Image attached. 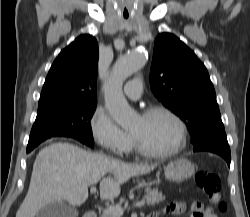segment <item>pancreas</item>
I'll use <instances>...</instances> for the list:
<instances>
[{
    "mask_svg": "<svg viewBox=\"0 0 250 217\" xmlns=\"http://www.w3.org/2000/svg\"><path fill=\"white\" fill-rule=\"evenodd\" d=\"M146 195L144 196V199L147 201L148 205H155L159 202H162L165 197L163 196L162 192H159L158 189H150L146 188ZM123 203V200H121L116 206L121 207ZM100 217H117L116 215L109 212L107 209H105Z\"/></svg>",
    "mask_w": 250,
    "mask_h": 217,
    "instance_id": "cf45deb5",
    "label": "pancreas"
}]
</instances>
